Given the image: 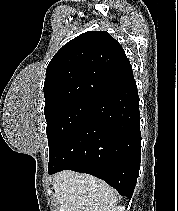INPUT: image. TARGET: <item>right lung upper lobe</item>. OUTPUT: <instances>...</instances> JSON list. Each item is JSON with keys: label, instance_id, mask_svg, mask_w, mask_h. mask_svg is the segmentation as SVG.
Masks as SVG:
<instances>
[{"label": "right lung upper lobe", "instance_id": "1", "mask_svg": "<svg viewBox=\"0 0 178 211\" xmlns=\"http://www.w3.org/2000/svg\"><path fill=\"white\" fill-rule=\"evenodd\" d=\"M134 79L122 46L105 31L65 44L46 69L45 108L79 98L98 100Z\"/></svg>", "mask_w": 178, "mask_h": 211}]
</instances>
